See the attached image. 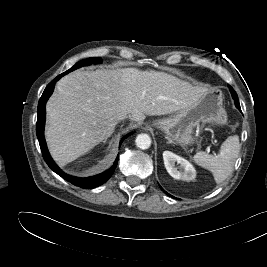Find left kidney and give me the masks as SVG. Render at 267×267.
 I'll return each mask as SVG.
<instances>
[{"label": "left kidney", "instance_id": "left-kidney-1", "mask_svg": "<svg viewBox=\"0 0 267 267\" xmlns=\"http://www.w3.org/2000/svg\"><path fill=\"white\" fill-rule=\"evenodd\" d=\"M163 160L167 172L175 179L184 181H192L196 177V170L193 165L186 159L170 152H163ZM175 163L180 165L181 170H178Z\"/></svg>", "mask_w": 267, "mask_h": 267}]
</instances>
